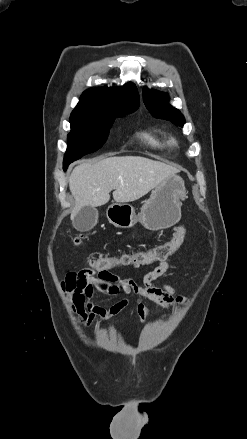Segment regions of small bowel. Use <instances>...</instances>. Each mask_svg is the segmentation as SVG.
Listing matches in <instances>:
<instances>
[{
    "mask_svg": "<svg viewBox=\"0 0 247 439\" xmlns=\"http://www.w3.org/2000/svg\"><path fill=\"white\" fill-rule=\"evenodd\" d=\"M170 268V261L160 262L153 270L145 274L139 284L131 278H121L109 270L95 272L89 268L77 272H70L62 281V289L68 296L71 311L78 321L88 326L96 317L110 318L123 311L129 304L132 295L137 297V313L144 323L150 312L142 299H148L165 309L186 303V298L177 295L169 285L159 286L156 280L162 277ZM95 291L105 295L115 296L124 293L125 298L115 303L110 308L95 305L91 300Z\"/></svg>",
    "mask_w": 247,
    "mask_h": 439,
    "instance_id": "c3829d8e",
    "label": "small bowel"
}]
</instances>
